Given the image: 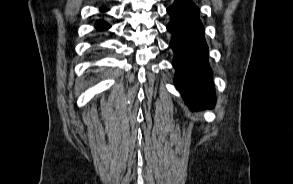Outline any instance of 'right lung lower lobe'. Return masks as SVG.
<instances>
[{"mask_svg":"<svg viewBox=\"0 0 293 184\" xmlns=\"http://www.w3.org/2000/svg\"><path fill=\"white\" fill-rule=\"evenodd\" d=\"M101 11H106V9L102 8ZM95 27L97 30H106L110 28V25L103 20H97L95 23Z\"/></svg>","mask_w":293,"mask_h":184,"instance_id":"obj_1","label":"right lung lower lobe"}]
</instances>
